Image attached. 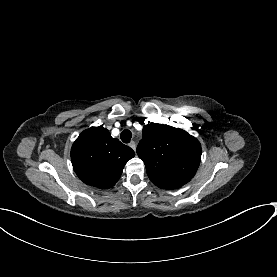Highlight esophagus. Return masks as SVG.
I'll use <instances>...</instances> for the list:
<instances>
[{
	"mask_svg": "<svg viewBox=\"0 0 277 277\" xmlns=\"http://www.w3.org/2000/svg\"><path fill=\"white\" fill-rule=\"evenodd\" d=\"M129 146H130L134 151H136V143H135L134 141H131V142L129 143Z\"/></svg>",
	"mask_w": 277,
	"mask_h": 277,
	"instance_id": "obj_1",
	"label": "esophagus"
}]
</instances>
